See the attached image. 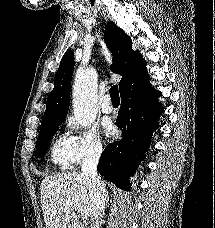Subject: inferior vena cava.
<instances>
[{
	"instance_id": "inferior-vena-cava-1",
	"label": "inferior vena cava",
	"mask_w": 215,
	"mask_h": 228,
	"mask_svg": "<svg viewBox=\"0 0 215 228\" xmlns=\"http://www.w3.org/2000/svg\"><path fill=\"white\" fill-rule=\"evenodd\" d=\"M101 154V146H94L91 152H88L87 156L82 160V176L88 180L89 188L92 190L93 210L90 220L91 228H99V220H101L105 212L106 188L97 174V166Z\"/></svg>"
}]
</instances>
